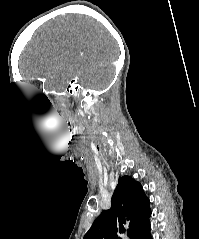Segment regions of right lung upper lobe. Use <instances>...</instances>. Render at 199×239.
Returning a JSON list of instances; mask_svg holds the SVG:
<instances>
[{
	"mask_svg": "<svg viewBox=\"0 0 199 239\" xmlns=\"http://www.w3.org/2000/svg\"><path fill=\"white\" fill-rule=\"evenodd\" d=\"M150 215V201L140 183L130 176L120 177L111 208L102 211L83 239H117V232L123 233L125 229H130L133 237Z\"/></svg>",
	"mask_w": 199,
	"mask_h": 239,
	"instance_id": "obj_1",
	"label": "right lung upper lobe"
}]
</instances>
